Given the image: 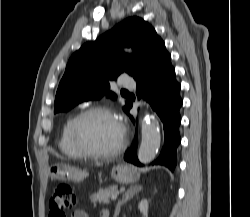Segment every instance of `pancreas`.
<instances>
[{
	"mask_svg": "<svg viewBox=\"0 0 250 217\" xmlns=\"http://www.w3.org/2000/svg\"><path fill=\"white\" fill-rule=\"evenodd\" d=\"M118 193H119V191H118L117 186H111L109 188L100 189L97 193H94L90 197V200L94 204H96V203L108 204L109 200H110V197L113 194H118Z\"/></svg>",
	"mask_w": 250,
	"mask_h": 217,
	"instance_id": "obj_1",
	"label": "pancreas"
}]
</instances>
